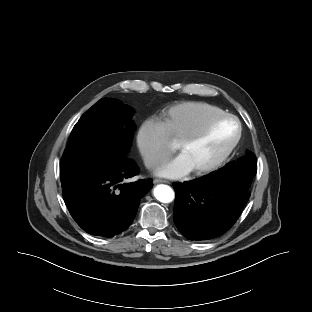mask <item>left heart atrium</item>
I'll return each instance as SVG.
<instances>
[{
    "mask_svg": "<svg viewBox=\"0 0 312 312\" xmlns=\"http://www.w3.org/2000/svg\"><path fill=\"white\" fill-rule=\"evenodd\" d=\"M192 167L184 157L180 154L173 160L162 165L158 170L157 174L168 178H180L192 171Z\"/></svg>",
    "mask_w": 312,
    "mask_h": 312,
    "instance_id": "1",
    "label": "left heart atrium"
}]
</instances>
